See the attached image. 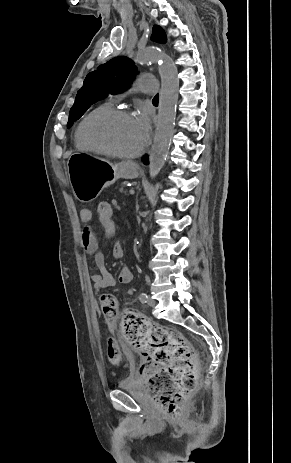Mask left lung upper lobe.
Here are the masks:
<instances>
[{"label": "left lung upper lobe", "instance_id": "5c2ea615", "mask_svg": "<svg viewBox=\"0 0 291 463\" xmlns=\"http://www.w3.org/2000/svg\"><path fill=\"white\" fill-rule=\"evenodd\" d=\"M151 39L159 43L166 42L165 32L160 26L153 27ZM136 74L133 61L124 56L113 58L90 72L77 92L70 109L67 127H71L93 103L105 98L109 93L116 94L125 90Z\"/></svg>", "mask_w": 291, "mask_h": 463}]
</instances>
